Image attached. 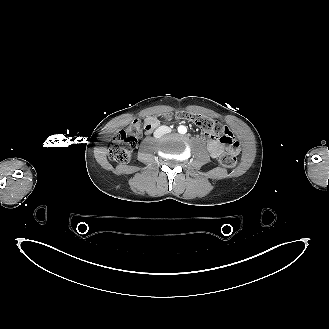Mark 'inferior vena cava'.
<instances>
[{
  "label": "inferior vena cava",
  "instance_id": "1",
  "mask_svg": "<svg viewBox=\"0 0 329 329\" xmlns=\"http://www.w3.org/2000/svg\"><path fill=\"white\" fill-rule=\"evenodd\" d=\"M171 129L168 126H160L154 131V137L160 138L163 135L170 133Z\"/></svg>",
  "mask_w": 329,
  "mask_h": 329
}]
</instances>
